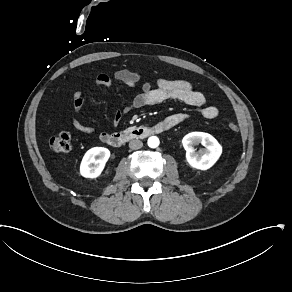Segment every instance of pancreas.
Wrapping results in <instances>:
<instances>
[{"instance_id": "cf45deb5", "label": "pancreas", "mask_w": 292, "mask_h": 292, "mask_svg": "<svg viewBox=\"0 0 292 292\" xmlns=\"http://www.w3.org/2000/svg\"><path fill=\"white\" fill-rule=\"evenodd\" d=\"M129 132V130L127 129V130H125V133L127 134Z\"/></svg>"}]
</instances>
